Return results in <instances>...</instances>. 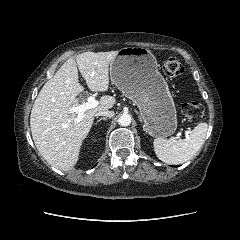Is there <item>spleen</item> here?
<instances>
[{"mask_svg": "<svg viewBox=\"0 0 240 240\" xmlns=\"http://www.w3.org/2000/svg\"><path fill=\"white\" fill-rule=\"evenodd\" d=\"M208 130L207 123H199L182 140L156 138L153 142L156 156L168 164H182L191 159L204 143Z\"/></svg>", "mask_w": 240, "mask_h": 240, "instance_id": "3e777b00", "label": "spleen"}]
</instances>
